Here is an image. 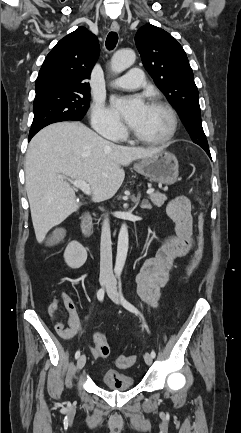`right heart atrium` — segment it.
Masks as SVG:
<instances>
[{
	"label": "right heart atrium",
	"instance_id": "right-heart-atrium-1",
	"mask_svg": "<svg viewBox=\"0 0 241 433\" xmlns=\"http://www.w3.org/2000/svg\"><path fill=\"white\" fill-rule=\"evenodd\" d=\"M91 124L96 132L110 139H120L125 132L120 119L100 102L93 106Z\"/></svg>",
	"mask_w": 241,
	"mask_h": 433
}]
</instances>
